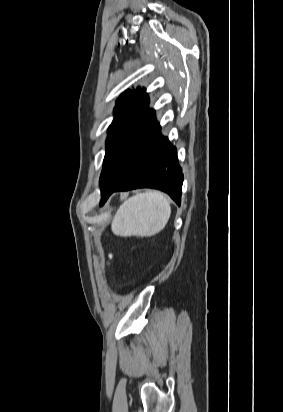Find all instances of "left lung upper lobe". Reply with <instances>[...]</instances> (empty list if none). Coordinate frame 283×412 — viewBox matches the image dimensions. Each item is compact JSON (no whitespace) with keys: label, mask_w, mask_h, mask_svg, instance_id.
Segmentation results:
<instances>
[{"label":"left lung upper lobe","mask_w":283,"mask_h":412,"mask_svg":"<svg viewBox=\"0 0 283 412\" xmlns=\"http://www.w3.org/2000/svg\"><path fill=\"white\" fill-rule=\"evenodd\" d=\"M148 103L145 89L127 90L116 102L115 117L108 128L105 158L127 160L125 177L143 158L158 126L155 111L148 108Z\"/></svg>","instance_id":"left-lung-upper-lobe-1"}]
</instances>
